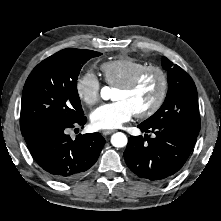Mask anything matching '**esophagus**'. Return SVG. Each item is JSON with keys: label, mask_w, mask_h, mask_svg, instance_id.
Listing matches in <instances>:
<instances>
[{"label": "esophagus", "mask_w": 221, "mask_h": 221, "mask_svg": "<svg viewBox=\"0 0 221 221\" xmlns=\"http://www.w3.org/2000/svg\"><path fill=\"white\" fill-rule=\"evenodd\" d=\"M114 132H115L114 130H104V131H102V135L103 136H107V135H110V134H112Z\"/></svg>", "instance_id": "esophagus-1"}]
</instances>
